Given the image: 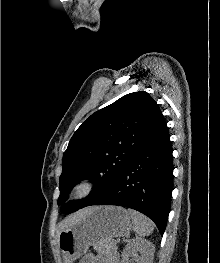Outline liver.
<instances>
[{
  "label": "liver",
  "mask_w": 220,
  "mask_h": 263,
  "mask_svg": "<svg viewBox=\"0 0 220 263\" xmlns=\"http://www.w3.org/2000/svg\"><path fill=\"white\" fill-rule=\"evenodd\" d=\"M91 209H92V207L80 210V211L70 215L69 217L65 218L63 221H61L58 225L57 237H59L60 232H62L65 228L71 226L75 222H77L80 218H82Z\"/></svg>",
  "instance_id": "1"
}]
</instances>
